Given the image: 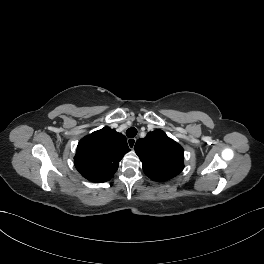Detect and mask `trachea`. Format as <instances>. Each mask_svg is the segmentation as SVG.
Instances as JSON below:
<instances>
[{"instance_id":"trachea-1","label":"trachea","mask_w":264,"mask_h":264,"mask_svg":"<svg viewBox=\"0 0 264 264\" xmlns=\"http://www.w3.org/2000/svg\"><path fill=\"white\" fill-rule=\"evenodd\" d=\"M126 135H127V137H129V138H133V137H135V136L137 135V129L134 128V127L129 128V129L126 131Z\"/></svg>"}]
</instances>
